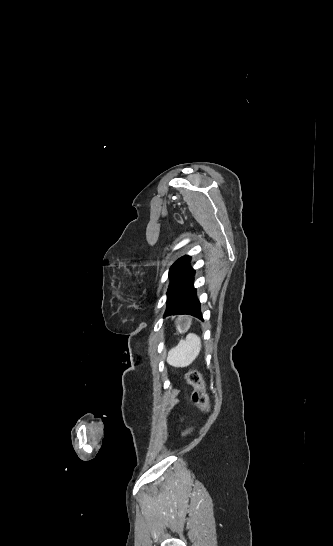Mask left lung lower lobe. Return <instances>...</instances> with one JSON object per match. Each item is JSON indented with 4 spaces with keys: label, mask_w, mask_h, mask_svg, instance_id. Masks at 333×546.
<instances>
[{
    "label": "left lung lower lobe",
    "mask_w": 333,
    "mask_h": 546,
    "mask_svg": "<svg viewBox=\"0 0 333 546\" xmlns=\"http://www.w3.org/2000/svg\"><path fill=\"white\" fill-rule=\"evenodd\" d=\"M194 269L189 265L172 281L167 292L165 316L188 314L203 320L200 302L196 296Z\"/></svg>",
    "instance_id": "left-lung-lower-lobe-1"
}]
</instances>
